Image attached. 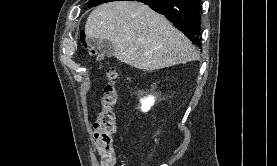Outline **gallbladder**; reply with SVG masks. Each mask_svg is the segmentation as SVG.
Segmentation results:
<instances>
[{"label":"gallbladder","mask_w":277,"mask_h":166,"mask_svg":"<svg viewBox=\"0 0 277 166\" xmlns=\"http://www.w3.org/2000/svg\"><path fill=\"white\" fill-rule=\"evenodd\" d=\"M88 46L92 48H96L99 50L103 55L107 57H112L114 55V47L113 44L107 39H96V38H89L87 40Z\"/></svg>","instance_id":"bac80fb5"}]
</instances>
